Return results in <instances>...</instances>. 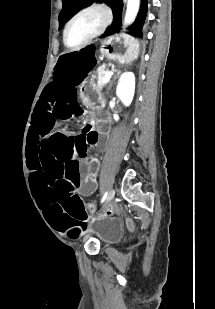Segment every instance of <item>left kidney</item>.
I'll list each match as a JSON object with an SVG mask.
<instances>
[{
    "instance_id": "left-kidney-1",
    "label": "left kidney",
    "mask_w": 215,
    "mask_h": 309,
    "mask_svg": "<svg viewBox=\"0 0 215 309\" xmlns=\"http://www.w3.org/2000/svg\"><path fill=\"white\" fill-rule=\"evenodd\" d=\"M135 92V76L133 72H123L119 78L116 94L121 98L125 106H129L133 100ZM114 120H119L118 114H113Z\"/></svg>"
}]
</instances>
